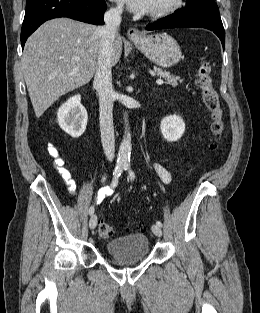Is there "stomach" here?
<instances>
[{
  "instance_id": "stomach-1",
  "label": "stomach",
  "mask_w": 260,
  "mask_h": 313,
  "mask_svg": "<svg viewBox=\"0 0 260 313\" xmlns=\"http://www.w3.org/2000/svg\"><path fill=\"white\" fill-rule=\"evenodd\" d=\"M132 42L148 59L162 68L172 67L181 60L179 44L167 33L143 35Z\"/></svg>"
}]
</instances>
